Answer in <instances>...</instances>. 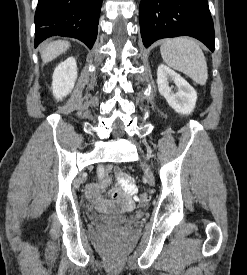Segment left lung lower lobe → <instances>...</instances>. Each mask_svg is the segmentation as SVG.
Here are the masks:
<instances>
[{"mask_svg": "<svg viewBox=\"0 0 247 275\" xmlns=\"http://www.w3.org/2000/svg\"><path fill=\"white\" fill-rule=\"evenodd\" d=\"M139 17L146 48L161 38L187 35L214 51V26L207 0H141Z\"/></svg>", "mask_w": 247, "mask_h": 275, "instance_id": "0a47b994", "label": "left lung lower lobe"}]
</instances>
